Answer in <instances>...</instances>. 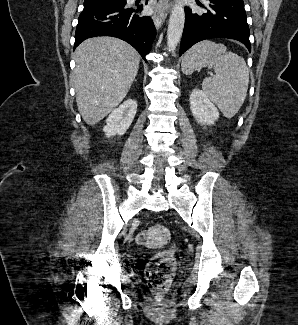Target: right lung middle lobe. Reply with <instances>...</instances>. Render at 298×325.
Here are the masks:
<instances>
[{"label": "right lung middle lobe", "mask_w": 298, "mask_h": 325, "mask_svg": "<svg viewBox=\"0 0 298 325\" xmlns=\"http://www.w3.org/2000/svg\"><path fill=\"white\" fill-rule=\"evenodd\" d=\"M126 2V0H85L84 7L109 6Z\"/></svg>", "instance_id": "1"}]
</instances>
